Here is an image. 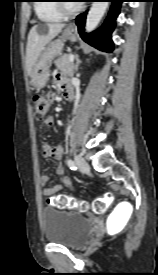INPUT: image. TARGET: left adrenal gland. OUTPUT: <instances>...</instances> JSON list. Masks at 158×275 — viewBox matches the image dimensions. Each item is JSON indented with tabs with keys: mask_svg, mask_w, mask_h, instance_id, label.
I'll return each instance as SVG.
<instances>
[{
	"mask_svg": "<svg viewBox=\"0 0 158 275\" xmlns=\"http://www.w3.org/2000/svg\"><path fill=\"white\" fill-rule=\"evenodd\" d=\"M75 60H76L75 72H77L79 64L81 63V60L79 59L78 55H75Z\"/></svg>",
	"mask_w": 158,
	"mask_h": 275,
	"instance_id": "obj_1",
	"label": "left adrenal gland"
}]
</instances>
